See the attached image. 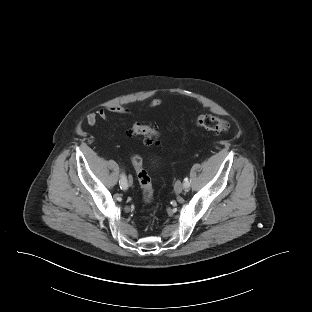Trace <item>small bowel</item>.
Segmentation results:
<instances>
[{"mask_svg":"<svg viewBox=\"0 0 312 312\" xmlns=\"http://www.w3.org/2000/svg\"><path fill=\"white\" fill-rule=\"evenodd\" d=\"M161 104H162L161 99H153L150 102L149 107L154 108V107L160 106ZM109 114L130 115L131 111L127 107L120 106V105H113L107 108H101L97 110L96 112H92L88 114L86 121L88 125L96 126L99 120H107Z\"/></svg>","mask_w":312,"mask_h":312,"instance_id":"obj_1","label":"small bowel"}]
</instances>
